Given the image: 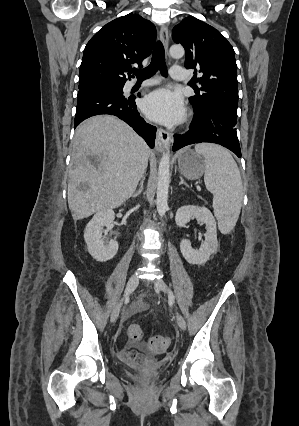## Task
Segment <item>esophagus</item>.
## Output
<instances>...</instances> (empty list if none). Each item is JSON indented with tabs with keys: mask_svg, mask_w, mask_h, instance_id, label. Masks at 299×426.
Instances as JSON below:
<instances>
[{
	"mask_svg": "<svg viewBox=\"0 0 299 426\" xmlns=\"http://www.w3.org/2000/svg\"><path fill=\"white\" fill-rule=\"evenodd\" d=\"M159 36L162 44L164 45V48L166 50V58L169 60L170 56L168 53V46H169V36H168V28L166 25H162L159 31ZM172 141V134L162 128H157V137H156V147L163 151L165 149H168L170 146V143Z\"/></svg>",
	"mask_w": 299,
	"mask_h": 426,
	"instance_id": "34e87169",
	"label": "esophagus"
}]
</instances>
